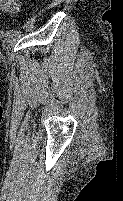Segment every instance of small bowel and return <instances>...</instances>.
Wrapping results in <instances>:
<instances>
[{
    "mask_svg": "<svg viewBox=\"0 0 123 201\" xmlns=\"http://www.w3.org/2000/svg\"><path fill=\"white\" fill-rule=\"evenodd\" d=\"M22 0H0V11L8 14L18 12Z\"/></svg>",
    "mask_w": 123,
    "mask_h": 201,
    "instance_id": "1",
    "label": "small bowel"
}]
</instances>
